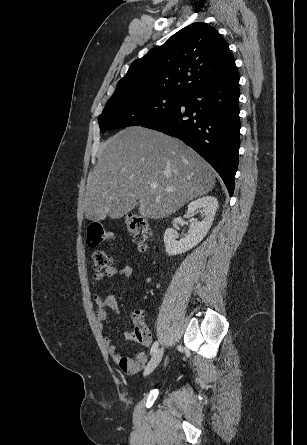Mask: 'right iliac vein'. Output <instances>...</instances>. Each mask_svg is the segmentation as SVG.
<instances>
[{
  "instance_id": "right-iliac-vein-1",
  "label": "right iliac vein",
  "mask_w": 307,
  "mask_h": 445,
  "mask_svg": "<svg viewBox=\"0 0 307 445\" xmlns=\"http://www.w3.org/2000/svg\"><path fill=\"white\" fill-rule=\"evenodd\" d=\"M163 353H164L163 348L158 349L154 353V355L152 356V358L148 362L147 366L145 367L144 376L149 375L158 366V364L160 363V361H161V359L163 357Z\"/></svg>"
}]
</instances>
